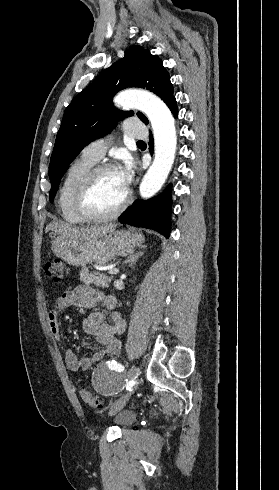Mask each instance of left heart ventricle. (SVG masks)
<instances>
[{
    "label": "left heart ventricle",
    "mask_w": 279,
    "mask_h": 490,
    "mask_svg": "<svg viewBox=\"0 0 279 490\" xmlns=\"http://www.w3.org/2000/svg\"><path fill=\"white\" fill-rule=\"evenodd\" d=\"M126 193L121 189L116 170L100 174L91 196L92 208L100 213H109L116 209L125 199Z\"/></svg>",
    "instance_id": "left-heart-ventricle-1"
}]
</instances>
